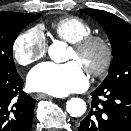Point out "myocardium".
Wrapping results in <instances>:
<instances>
[{
	"instance_id": "1",
	"label": "myocardium",
	"mask_w": 131,
	"mask_h": 131,
	"mask_svg": "<svg viewBox=\"0 0 131 131\" xmlns=\"http://www.w3.org/2000/svg\"><path fill=\"white\" fill-rule=\"evenodd\" d=\"M72 49L79 57H85L94 49H100L101 61L94 66H86V71L93 77L104 76L114 60V49L110 40L100 35H89L72 45Z\"/></svg>"
}]
</instances>
